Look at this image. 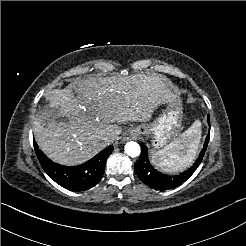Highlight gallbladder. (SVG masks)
I'll return each instance as SVG.
<instances>
[{"mask_svg": "<svg viewBox=\"0 0 246 246\" xmlns=\"http://www.w3.org/2000/svg\"><path fill=\"white\" fill-rule=\"evenodd\" d=\"M42 111H44V115L47 116L49 119L55 117L56 112L49 106H45Z\"/></svg>", "mask_w": 246, "mask_h": 246, "instance_id": "obj_1", "label": "gallbladder"}]
</instances>
